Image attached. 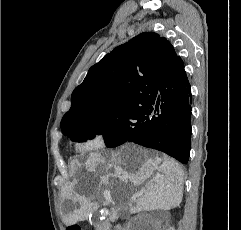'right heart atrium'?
Segmentation results:
<instances>
[{"label": "right heart atrium", "instance_id": "obj_1", "mask_svg": "<svg viewBox=\"0 0 241 230\" xmlns=\"http://www.w3.org/2000/svg\"><path fill=\"white\" fill-rule=\"evenodd\" d=\"M106 139L102 133L95 134L83 143V146L89 150H97L105 147Z\"/></svg>", "mask_w": 241, "mask_h": 230}]
</instances>
